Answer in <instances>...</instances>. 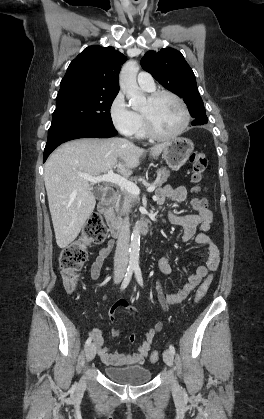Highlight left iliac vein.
Instances as JSON below:
<instances>
[{
  "mask_svg": "<svg viewBox=\"0 0 264 419\" xmlns=\"http://www.w3.org/2000/svg\"><path fill=\"white\" fill-rule=\"evenodd\" d=\"M163 360L168 366L171 367L174 361L173 353L170 350H165L163 353Z\"/></svg>",
  "mask_w": 264,
  "mask_h": 419,
  "instance_id": "1",
  "label": "left iliac vein"
}]
</instances>
